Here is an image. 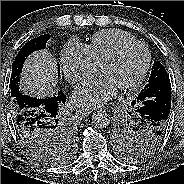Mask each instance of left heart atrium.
I'll return each instance as SVG.
<instances>
[{"label": "left heart atrium", "mask_w": 184, "mask_h": 184, "mask_svg": "<svg viewBox=\"0 0 184 184\" xmlns=\"http://www.w3.org/2000/svg\"><path fill=\"white\" fill-rule=\"evenodd\" d=\"M117 90V85L109 76L98 73L75 87L73 99L79 105L98 107L112 98Z\"/></svg>", "instance_id": "left-heart-atrium-1"}]
</instances>
